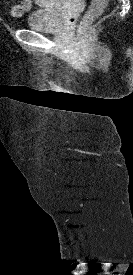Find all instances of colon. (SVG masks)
I'll return each instance as SVG.
<instances>
[{
  "mask_svg": "<svg viewBox=\"0 0 133 275\" xmlns=\"http://www.w3.org/2000/svg\"><path fill=\"white\" fill-rule=\"evenodd\" d=\"M107 0H92L91 7L88 15L90 17H96L102 13L104 7L106 6ZM29 9V3L27 0H24L22 4H15L11 6L10 11L11 15L15 17L22 16L25 11ZM73 21V19H71Z\"/></svg>",
  "mask_w": 133,
  "mask_h": 275,
  "instance_id": "obj_1",
  "label": "colon"
}]
</instances>
